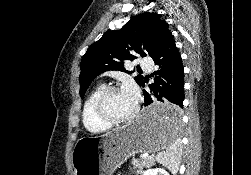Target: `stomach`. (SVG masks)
<instances>
[{
	"instance_id": "obj_1",
	"label": "stomach",
	"mask_w": 251,
	"mask_h": 175,
	"mask_svg": "<svg viewBox=\"0 0 251 175\" xmlns=\"http://www.w3.org/2000/svg\"><path fill=\"white\" fill-rule=\"evenodd\" d=\"M178 106L167 105V100H158L156 107L142 109L130 125L117 127L105 135H83L76 141L72 151L74 175H112L113 171L130 155L154 154L166 148L168 141H177L178 123L181 114Z\"/></svg>"
}]
</instances>
